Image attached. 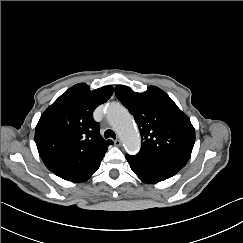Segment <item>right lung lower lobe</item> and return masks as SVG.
Returning <instances> with one entry per match:
<instances>
[{
	"label": "right lung lower lobe",
	"instance_id": "1",
	"mask_svg": "<svg viewBox=\"0 0 243 243\" xmlns=\"http://www.w3.org/2000/svg\"><path fill=\"white\" fill-rule=\"evenodd\" d=\"M99 166H100V163L91 165L82 171L65 174L60 177L65 180L72 181V182H84V181H87V179H89V177L99 168Z\"/></svg>",
	"mask_w": 243,
	"mask_h": 243
}]
</instances>
